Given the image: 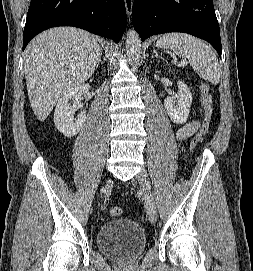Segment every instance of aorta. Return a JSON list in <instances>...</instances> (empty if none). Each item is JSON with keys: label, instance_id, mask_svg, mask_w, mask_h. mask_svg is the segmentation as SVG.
<instances>
[{"label": "aorta", "instance_id": "aorta-1", "mask_svg": "<svg viewBox=\"0 0 253 271\" xmlns=\"http://www.w3.org/2000/svg\"><path fill=\"white\" fill-rule=\"evenodd\" d=\"M141 53V40L139 34L133 29L127 32L126 37V54L134 65H136L140 59Z\"/></svg>", "mask_w": 253, "mask_h": 271}]
</instances>
